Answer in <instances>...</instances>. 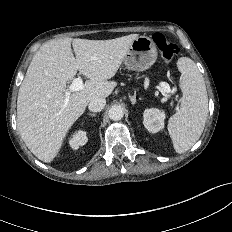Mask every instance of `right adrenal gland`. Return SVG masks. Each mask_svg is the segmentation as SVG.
Segmentation results:
<instances>
[{
    "mask_svg": "<svg viewBox=\"0 0 232 232\" xmlns=\"http://www.w3.org/2000/svg\"><path fill=\"white\" fill-rule=\"evenodd\" d=\"M88 116L95 117V116H96V114H95V113H88Z\"/></svg>",
    "mask_w": 232,
    "mask_h": 232,
    "instance_id": "2a0ac1e0",
    "label": "right adrenal gland"
}]
</instances>
